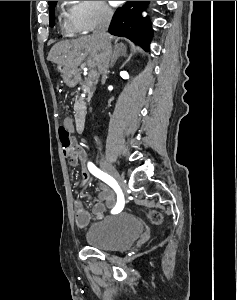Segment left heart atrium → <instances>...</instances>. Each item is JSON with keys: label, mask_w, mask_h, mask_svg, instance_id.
Returning a JSON list of instances; mask_svg holds the SVG:
<instances>
[{"label": "left heart atrium", "mask_w": 237, "mask_h": 300, "mask_svg": "<svg viewBox=\"0 0 237 300\" xmlns=\"http://www.w3.org/2000/svg\"><path fill=\"white\" fill-rule=\"evenodd\" d=\"M111 2V4H113V5H117V4H119L120 2H122V1H110Z\"/></svg>", "instance_id": "obj_1"}]
</instances>
